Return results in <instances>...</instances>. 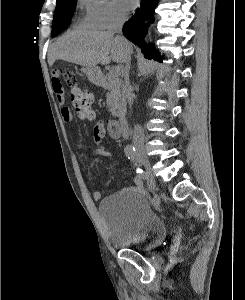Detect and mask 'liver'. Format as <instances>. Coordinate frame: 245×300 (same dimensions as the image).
<instances>
[{"mask_svg":"<svg viewBox=\"0 0 245 300\" xmlns=\"http://www.w3.org/2000/svg\"><path fill=\"white\" fill-rule=\"evenodd\" d=\"M132 45L114 37L113 32L76 29L68 31L52 44L48 53V64L58 59L84 67L108 64L111 59L125 63L132 54ZM110 54V56H109Z\"/></svg>","mask_w":245,"mask_h":300,"instance_id":"6515ba94","label":"liver"}]
</instances>
